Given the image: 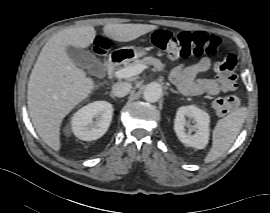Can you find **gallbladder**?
Listing matches in <instances>:
<instances>
[{
    "mask_svg": "<svg viewBox=\"0 0 270 213\" xmlns=\"http://www.w3.org/2000/svg\"><path fill=\"white\" fill-rule=\"evenodd\" d=\"M66 52L76 66L86 69L91 75L104 73V66L91 52L74 46L66 47Z\"/></svg>",
    "mask_w": 270,
    "mask_h": 213,
    "instance_id": "1",
    "label": "gallbladder"
}]
</instances>
